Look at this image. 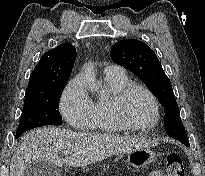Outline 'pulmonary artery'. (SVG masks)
Wrapping results in <instances>:
<instances>
[{"instance_id": "1", "label": "pulmonary artery", "mask_w": 205, "mask_h": 176, "mask_svg": "<svg viewBox=\"0 0 205 176\" xmlns=\"http://www.w3.org/2000/svg\"><path fill=\"white\" fill-rule=\"evenodd\" d=\"M105 74H124V69L119 65H108L104 69Z\"/></svg>"}]
</instances>
